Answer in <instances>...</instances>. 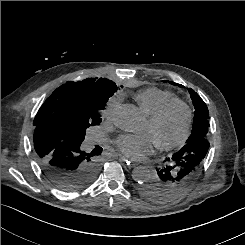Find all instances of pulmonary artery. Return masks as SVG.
I'll use <instances>...</instances> for the list:
<instances>
[{
	"instance_id": "pulmonary-artery-1",
	"label": "pulmonary artery",
	"mask_w": 245,
	"mask_h": 245,
	"mask_svg": "<svg viewBox=\"0 0 245 245\" xmlns=\"http://www.w3.org/2000/svg\"><path fill=\"white\" fill-rule=\"evenodd\" d=\"M96 142H98V139L95 138V137L90 138V139L88 140V143H89L90 145H92L93 143H96Z\"/></svg>"
}]
</instances>
